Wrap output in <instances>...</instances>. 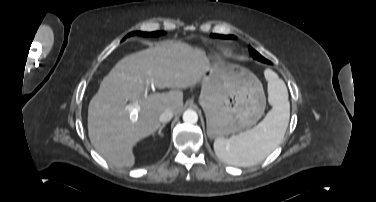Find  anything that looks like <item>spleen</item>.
Segmentation results:
<instances>
[{"label":"spleen","instance_id":"3e777b00","mask_svg":"<svg viewBox=\"0 0 376 202\" xmlns=\"http://www.w3.org/2000/svg\"><path fill=\"white\" fill-rule=\"evenodd\" d=\"M268 101L272 110L255 128L229 139L217 138L214 151L219 159L236 166L248 167L263 161L282 141L290 118V104L284 82L268 69Z\"/></svg>","mask_w":376,"mask_h":202}]
</instances>
